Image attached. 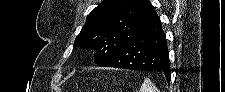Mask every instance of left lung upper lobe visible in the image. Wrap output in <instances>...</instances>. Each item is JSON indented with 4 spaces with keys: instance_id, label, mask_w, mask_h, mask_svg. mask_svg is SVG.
<instances>
[{
    "instance_id": "obj_1",
    "label": "left lung upper lobe",
    "mask_w": 225,
    "mask_h": 92,
    "mask_svg": "<svg viewBox=\"0 0 225 92\" xmlns=\"http://www.w3.org/2000/svg\"><path fill=\"white\" fill-rule=\"evenodd\" d=\"M156 14L149 0H104L88 15L74 46L94 49V63L100 65Z\"/></svg>"
}]
</instances>
